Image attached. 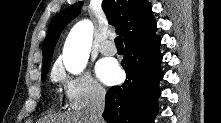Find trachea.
Here are the masks:
<instances>
[{"label":"trachea","instance_id":"3493384b","mask_svg":"<svg viewBox=\"0 0 221 123\" xmlns=\"http://www.w3.org/2000/svg\"><path fill=\"white\" fill-rule=\"evenodd\" d=\"M115 44H116V47L117 48H124V45H123V39L121 36H117L115 38Z\"/></svg>","mask_w":221,"mask_h":123}]
</instances>
